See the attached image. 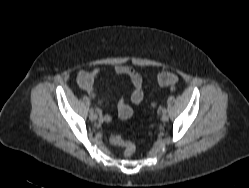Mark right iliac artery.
I'll return each instance as SVG.
<instances>
[{"label": "right iliac artery", "mask_w": 249, "mask_h": 188, "mask_svg": "<svg viewBox=\"0 0 249 188\" xmlns=\"http://www.w3.org/2000/svg\"><path fill=\"white\" fill-rule=\"evenodd\" d=\"M90 113L91 114L94 113V109L93 108L90 109Z\"/></svg>", "instance_id": "1"}]
</instances>
